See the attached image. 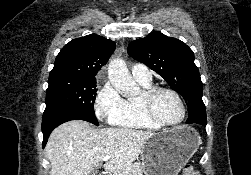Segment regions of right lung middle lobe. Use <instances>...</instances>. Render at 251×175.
I'll return each instance as SVG.
<instances>
[{"label": "right lung middle lobe", "instance_id": "dd1d6c3e", "mask_svg": "<svg viewBox=\"0 0 251 175\" xmlns=\"http://www.w3.org/2000/svg\"><path fill=\"white\" fill-rule=\"evenodd\" d=\"M46 109H73L94 114L96 84L49 78Z\"/></svg>", "mask_w": 251, "mask_h": 175}]
</instances>
